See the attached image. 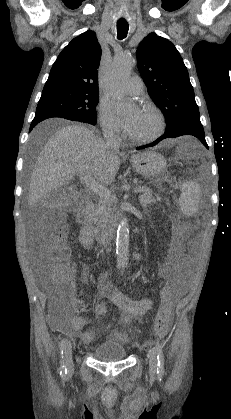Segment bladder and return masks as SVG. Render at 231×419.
<instances>
[{"label":"bladder","mask_w":231,"mask_h":419,"mask_svg":"<svg viewBox=\"0 0 231 419\" xmlns=\"http://www.w3.org/2000/svg\"><path fill=\"white\" fill-rule=\"evenodd\" d=\"M94 358L101 362L122 361L127 358V349L115 339L105 340L95 348Z\"/></svg>","instance_id":"obj_1"}]
</instances>
